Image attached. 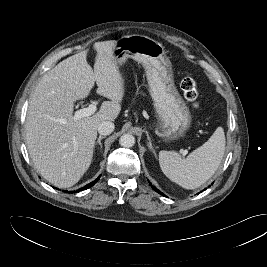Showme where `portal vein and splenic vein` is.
<instances>
[{
    "instance_id": "obj_1",
    "label": "portal vein and splenic vein",
    "mask_w": 267,
    "mask_h": 267,
    "mask_svg": "<svg viewBox=\"0 0 267 267\" xmlns=\"http://www.w3.org/2000/svg\"><path fill=\"white\" fill-rule=\"evenodd\" d=\"M96 110H97L96 103L93 102L88 107L77 110L74 113V119L78 120L84 117L91 116L92 114L95 113ZM181 153L183 154V156H185L187 154V150H182Z\"/></svg>"
}]
</instances>
